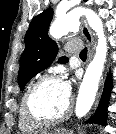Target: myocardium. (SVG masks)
Wrapping results in <instances>:
<instances>
[{"mask_svg": "<svg viewBox=\"0 0 116 134\" xmlns=\"http://www.w3.org/2000/svg\"><path fill=\"white\" fill-rule=\"evenodd\" d=\"M60 81V78L53 74H47L37 79L26 91L23 98V109L29 120L39 125H51L66 120L73 111V102L70 101L64 113L58 116H47L38 114L33 107V97L35 93L46 83Z\"/></svg>", "mask_w": 116, "mask_h": 134, "instance_id": "1", "label": "myocardium"}]
</instances>
